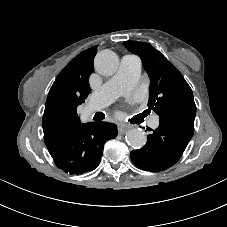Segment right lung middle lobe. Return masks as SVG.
<instances>
[{
  "instance_id": "1",
  "label": "right lung middle lobe",
  "mask_w": 227,
  "mask_h": 227,
  "mask_svg": "<svg viewBox=\"0 0 227 227\" xmlns=\"http://www.w3.org/2000/svg\"><path fill=\"white\" fill-rule=\"evenodd\" d=\"M55 119L58 121V122H65L69 119V116L68 114L63 111V110H58L56 113H55Z\"/></svg>"
}]
</instances>
